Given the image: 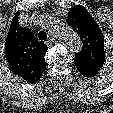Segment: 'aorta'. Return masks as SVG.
I'll use <instances>...</instances> for the list:
<instances>
[{
	"label": "aorta",
	"instance_id": "aorta-1",
	"mask_svg": "<svg viewBox=\"0 0 113 113\" xmlns=\"http://www.w3.org/2000/svg\"><path fill=\"white\" fill-rule=\"evenodd\" d=\"M49 25L52 33L67 49L76 51L81 48L79 36L70 26L55 19H50Z\"/></svg>",
	"mask_w": 113,
	"mask_h": 113
}]
</instances>
